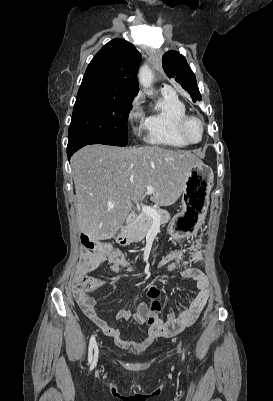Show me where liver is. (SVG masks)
<instances>
[{
    "mask_svg": "<svg viewBox=\"0 0 273 401\" xmlns=\"http://www.w3.org/2000/svg\"><path fill=\"white\" fill-rule=\"evenodd\" d=\"M202 162L191 150L161 146L87 144L71 158L80 233L104 241L121 229L132 201H143L153 186L151 201L176 203L186 182V170ZM114 205V209H110Z\"/></svg>",
    "mask_w": 273,
    "mask_h": 401,
    "instance_id": "1",
    "label": "liver"
}]
</instances>
